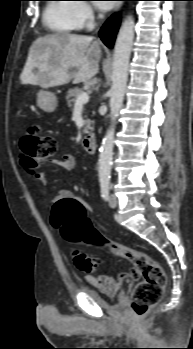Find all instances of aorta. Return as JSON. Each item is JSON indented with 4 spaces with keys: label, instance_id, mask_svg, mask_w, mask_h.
Here are the masks:
<instances>
[{
    "label": "aorta",
    "instance_id": "762f6f07",
    "mask_svg": "<svg viewBox=\"0 0 193 349\" xmlns=\"http://www.w3.org/2000/svg\"><path fill=\"white\" fill-rule=\"evenodd\" d=\"M134 25V18L132 16H128L121 25L115 43L112 63V86L109 91L111 126L107 130L100 148L98 165L100 182L110 180L115 124L124 100L128 79L129 59L134 40Z\"/></svg>",
    "mask_w": 193,
    "mask_h": 349
}]
</instances>
